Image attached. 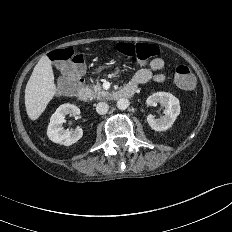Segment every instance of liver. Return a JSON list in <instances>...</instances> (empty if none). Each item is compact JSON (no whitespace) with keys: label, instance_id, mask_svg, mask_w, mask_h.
<instances>
[{"label":"liver","instance_id":"6515ba94","mask_svg":"<svg viewBox=\"0 0 232 232\" xmlns=\"http://www.w3.org/2000/svg\"><path fill=\"white\" fill-rule=\"evenodd\" d=\"M56 93L51 61L43 56L33 69L25 88V107L28 117L36 120Z\"/></svg>","mask_w":232,"mask_h":232}]
</instances>
